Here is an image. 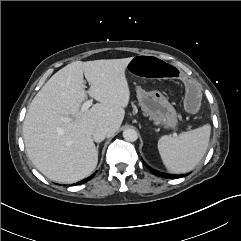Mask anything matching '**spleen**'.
<instances>
[{"label":"spleen","instance_id":"obj_1","mask_svg":"<svg viewBox=\"0 0 241 241\" xmlns=\"http://www.w3.org/2000/svg\"><path fill=\"white\" fill-rule=\"evenodd\" d=\"M211 127L205 124L177 137L162 136L158 150L162 161L171 173H186L196 167L205 155L210 139Z\"/></svg>","mask_w":241,"mask_h":241}]
</instances>
